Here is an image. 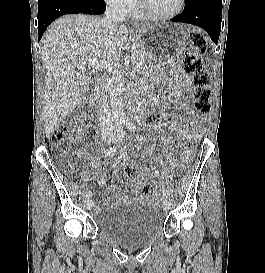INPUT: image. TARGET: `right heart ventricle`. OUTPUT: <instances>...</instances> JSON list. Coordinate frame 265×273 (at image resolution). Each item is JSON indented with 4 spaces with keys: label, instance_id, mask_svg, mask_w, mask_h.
I'll list each match as a JSON object with an SVG mask.
<instances>
[{
    "label": "right heart ventricle",
    "instance_id": "obj_1",
    "mask_svg": "<svg viewBox=\"0 0 265 273\" xmlns=\"http://www.w3.org/2000/svg\"><path fill=\"white\" fill-rule=\"evenodd\" d=\"M131 12H132V15H133L134 17H137V18H140V19L144 18V17L142 16L141 11H140L139 8H137V9L134 8Z\"/></svg>",
    "mask_w": 265,
    "mask_h": 273
}]
</instances>
